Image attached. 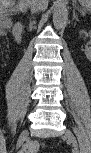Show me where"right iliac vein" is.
Segmentation results:
<instances>
[{
    "label": "right iliac vein",
    "mask_w": 91,
    "mask_h": 153,
    "mask_svg": "<svg viewBox=\"0 0 91 153\" xmlns=\"http://www.w3.org/2000/svg\"><path fill=\"white\" fill-rule=\"evenodd\" d=\"M27 136H28L27 130H25L21 133V135L19 136L18 141H17V148H19L23 144V142L25 141Z\"/></svg>",
    "instance_id": "right-iliac-vein-1"
}]
</instances>
